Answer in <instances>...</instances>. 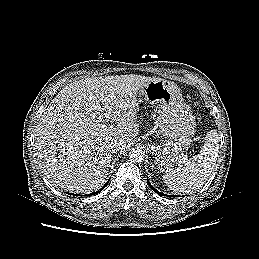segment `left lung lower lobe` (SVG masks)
<instances>
[{
  "label": "left lung lower lobe",
  "instance_id": "left-lung-lower-lobe-1",
  "mask_svg": "<svg viewBox=\"0 0 259 259\" xmlns=\"http://www.w3.org/2000/svg\"><path fill=\"white\" fill-rule=\"evenodd\" d=\"M147 182H148V184H149V186H150V188L151 189H153L157 194H159V195H163L162 193H160L159 191H157L152 185H151V183L149 182V180L147 179ZM166 196H168V195H166Z\"/></svg>",
  "mask_w": 259,
  "mask_h": 259
}]
</instances>
